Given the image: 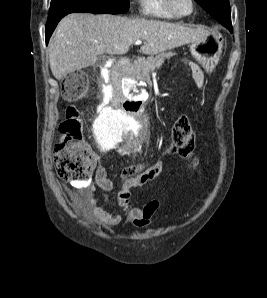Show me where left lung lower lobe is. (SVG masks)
<instances>
[{"label":"left lung lower lobe","instance_id":"left-lung-lower-lobe-1","mask_svg":"<svg viewBox=\"0 0 267 298\" xmlns=\"http://www.w3.org/2000/svg\"><path fill=\"white\" fill-rule=\"evenodd\" d=\"M223 26H225L227 29H229V31L232 33L233 32V28H232V25H231V19L228 20L227 22L225 21H222L220 22Z\"/></svg>","mask_w":267,"mask_h":298}]
</instances>
